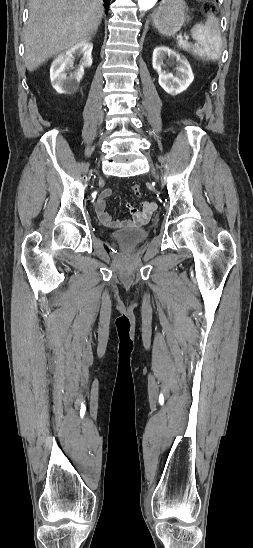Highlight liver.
I'll use <instances>...</instances> for the list:
<instances>
[{
	"mask_svg": "<svg viewBox=\"0 0 253 548\" xmlns=\"http://www.w3.org/2000/svg\"><path fill=\"white\" fill-rule=\"evenodd\" d=\"M103 13L102 0H30L24 30L28 71H34L56 54L90 40Z\"/></svg>",
	"mask_w": 253,
	"mask_h": 548,
	"instance_id": "liver-1",
	"label": "liver"
}]
</instances>
